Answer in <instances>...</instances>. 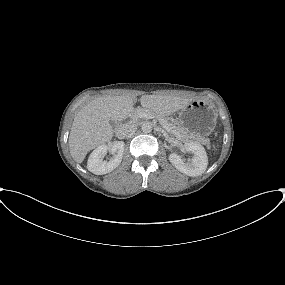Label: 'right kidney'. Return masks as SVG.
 <instances>
[{
	"label": "right kidney",
	"mask_w": 285,
	"mask_h": 285,
	"mask_svg": "<svg viewBox=\"0 0 285 285\" xmlns=\"http://www.w3.org/2000/svg\"><path fill=\"white\" fill-rule=\"evenodd\" d=\"M110 152L112 157L109 161H104L103 158ZM124 152V143L119 141L112 146L100 145L89 156L87 168L90 172L96 175H103L113 171L122 161Z\"/></svg>",
	"instance_id": "1"
}]
</instances>
